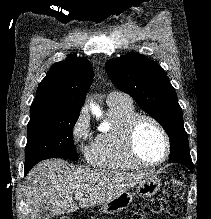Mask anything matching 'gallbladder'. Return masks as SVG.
<instances>
[{
    "label": "gallbladder",
    "instance_id": "obj_1",
    "mask_svg": "<svg viewBox=\"0 0 211 219\" xmlns=\"http://www.w3.org/2000/svg\"><path fill=\"white\" fill-rule=\"evenodd\" d=\"M52 217L53 214L50 205L48 203L41 204L38 208L36 219H52Z\"/></svg>",
    "mask_w": 211,
    "mask_h": 219
}]
</instances>
